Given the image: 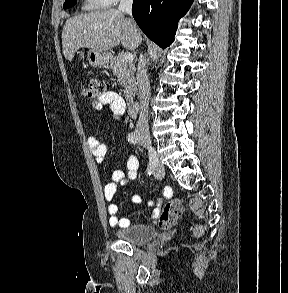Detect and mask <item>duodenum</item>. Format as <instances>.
<instances>
[{"instance_id": "410a0bca", "label": "duodenum", "mask_w": 288, "mask_h": 293, "mask_svg": "<svg viewBox=\"0 0 288 293\" xmlns=\"http://www.w3.org/2000/svg\"><path fill=\"white\" fill-rule=\"evenodd\" d=\"M139 110V102L137 100H130L129 102V112L132 115H136Z\"/></svg>"}]
</instances>
